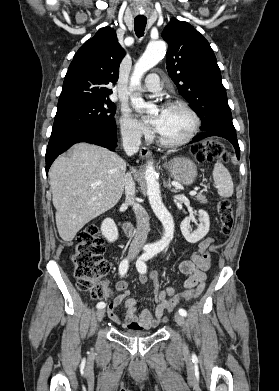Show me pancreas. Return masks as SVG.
I'll return each instance as SVG.
<instances>
[{
	"label": "pancreas",
	"mask_w": 279,
	"mask_h": 391,
	"mask_svg": "<svg viewBox=\"0 0 279 391\" xmlns=\"http://www.w3.org/2000/svg\"><path fill=\"white\" fill-rule=\"evenodd\" d=\"M195 200L199 201L200 203H203V204H206L207 203V199L205 197V195L203 194H198L195 196Z\"/></svg>",
	"instance_id": "obj_1"
}]
</instances>
